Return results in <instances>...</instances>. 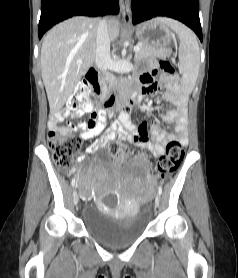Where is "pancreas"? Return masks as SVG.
<instances>
[{
  "label": "pancreas",
  "instance_id": "obj_1",
  "mask_svg": "<svg viewBox=\"0 0 238 278\" xmlns=\"http://www.w3.org/2000/svg\"><path fill=\"white\" fill-rule=\"evenodd\" d=\"M139 47H140V50L138 52H136V54H135L136 61H140V60L148 58V57L164 58V57H167L170 53V49L156 48L151 45L144 44V43H140ZM106 81L109 82L110 87H112L116 84V79L112 74L107 75Z\"/></svg>",
  "mask_w": 238,
  "mask_h": 278
}]
</instances>
